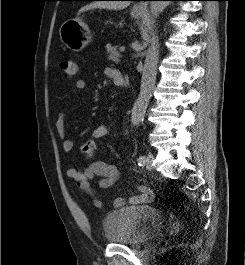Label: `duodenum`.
<instances>
[{
  "instance_id": "obj_1",
  "label": "duodenum",
  "mask_w": 245,
  "mask_h": 265,
  "mask_svg": "<svg viewBox=\"0 0 245 265\" xmlns=\"http://www.w3.org/2000/svg\"><path fill=\"white\" fill-rule=\"evenodd\" d=\"M114 83L117 85V86H126V81H125V78L124 77H120V78H117Z\"/></svg>"
}]
</instances>
